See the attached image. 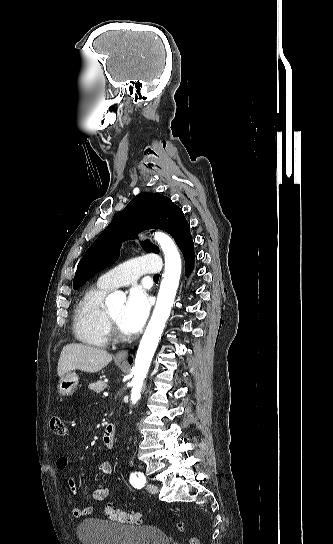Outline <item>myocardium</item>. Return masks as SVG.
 <instances>
[{
  "mask_svg": "<svg viewBox=\"0 0 333 544\" xmlns=\"http://www.w3.org/2000/svg\"><path fill=\"white\" fill-rule=\"evenodd\" d=\"M106 317H107L110 333L114 336V338H116L117 340L126 339V334L120 329L118 323L111 316L109 311H106Z\"/></svg>",
  "mask_w": 333,
  "mask_h": 544,
  "instance_id": "obj_1",
  "label": "myocardium"
}]
</instances>
